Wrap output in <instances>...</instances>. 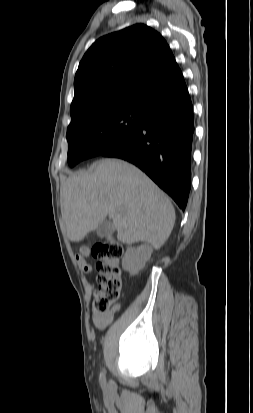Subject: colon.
I'll use <instances>...</instances> for the list:
<instances>
[{"mask_svg":"<svg viewBox=\"0 0 253 413\" xmlns=\"http://www.w3.org/2000/svg\"><path fill=\"white\" fill-rule=\"evenodd\" d=\"M122 253V246L113 238L96 243L91 249V254L98 260V286L93 303L95 315L108 313L122 298L124 281L119 264Z\"/></svg>","mask_w":253,"mask_h":413,"instance_id":"obj_1","label":"colon"}]
</instances>
